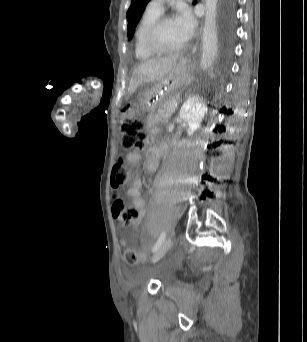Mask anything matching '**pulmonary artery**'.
I'll use <instances>...</instances> for the list:
<instances>
[{"instance_id": "pulmonary-artery-1", "label": "pulmonary artery", "mask_w": 307, "mask_h": 342, "mask_svg": "<svg viewBox=\"0 0 307 342\" xmlns=\"http://www.w3.org/2000/svg\"><path fill=\"white\" fill-rule=\"evenodd\" d=\"M167 1H148V7L154 12L162 13L163 12V5Z\"/></svg>"}]
</instances>
